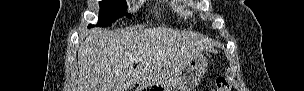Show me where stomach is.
Instances as JSON below:
<instances>
[{"label":"stomach","mask_w":304,"mask_h":91,"mask_svg":"<svg viewBox=\"0 0 304 91\" xmlns=\"http://www.w3.org/2000/svg\"><path fill=\"white\" fill-rule=\"evenodd\" d=\"M208 67V59L202 52L194 54L186 65L169 81L154 86H142L137 91H192L200 82Z\"/></svg>","instance_id":"1"}]
</instances>
